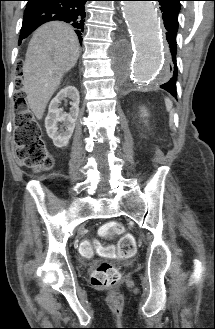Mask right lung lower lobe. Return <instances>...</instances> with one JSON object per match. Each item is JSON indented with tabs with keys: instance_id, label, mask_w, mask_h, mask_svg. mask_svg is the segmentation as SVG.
Masks as SVG:
<instances>
[{
	"instance_id": "98d812e1",
	"label": "right lung lower lobe",
	"mask_w": 215,
	"mask_h": 329,
	"mask_svg": "<svg viewBox=\"0 0 215 329\" xmlns=\"http://www.w3.org/2000/svg\"><path fill=\"white\" fill-rule=\"evenodd\" d=\"M19 43L45 22L60 20L70 23L82 43L85 3L89 0H26Z\"/></svg>"
}]
</instances>
